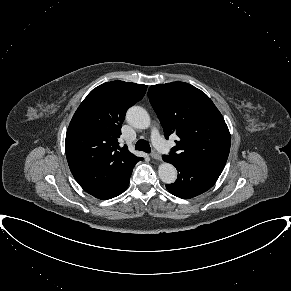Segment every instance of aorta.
Instances as JSON below:
<instances>
[{"instance_id":"obj_1","label":"aorta","mask_w":291,"mask_h":291,"mask_svg":"<svg viewBox=\"0 0 291 291\" xmlns=\"http://www.w3.org/2000/svg\"><path fill=\"white\" fill-rule=\"evenodd\" d=\"M126 119L130 125L138 129H146L151 124L148 112L140 106L129 108ZM158 175L162 182L172 184L177 179V170L172 164L164 162L158 167Z\"/></svg>"}]
</instances>
